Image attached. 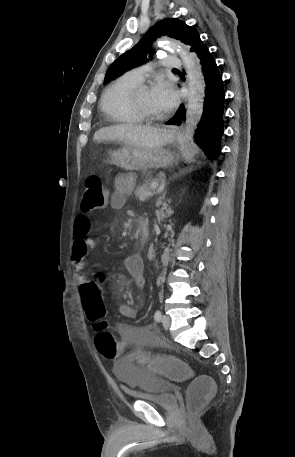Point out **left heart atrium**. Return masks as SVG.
I'll return each mask as SVG.
<instances>
[{
  "label": "left heart atrium",
  "instance_id": "obj_1",
  "mask_svg": "<svg viewBox=\"0 0 295 457\" xmlns=\"http://www.w3.org/2000/svg\"><path fill=\"white\" fill-rule=\"evenodd\" d=\"M151 92L155 104L161 111L170 110L177 102V93L173 85L167 80H158Z\"/></svg>",
  "mask_w": 295,
  "mask_h": 457
}]
</instances>
